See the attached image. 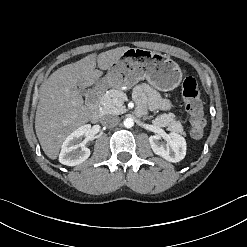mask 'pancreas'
<instances>
[{"mask_svg":"<svg viewBox=\"0 0 247 247\" xmlns=\"http://www.w3.org/2000/svg\"><path fill=\"white\" fill-rule=\"evenodd\" d=\"M124 100L125 94L122 91L111 89L102 96L100 103L105 113L121 114L125 111ZM152 123L159 127H167L169 131L186 135L182 124L176 120L173 113L160 114Z\"/></svg>","mask_w":247,"mask_h":247,"instance_id":"1","label":"pancreas"}]
</instances>
